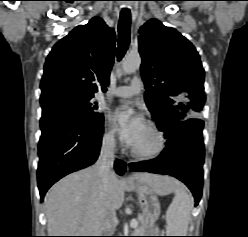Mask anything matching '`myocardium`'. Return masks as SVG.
Listing matches in <instances>:
<instances>
[{
  "mask_svg": "<svg viewBox=\"0 0 248 237\" xmlns=\"http://www.w3.org/2000/svg\"><path fill=\"white\" fill-rule=\"evenodd\" d=\"M156 138V147L150 151L142 152L131 148V154L141 160H152L160 156L166 149V139L160 128L153 124L148 123L146 126Z\"/></svg>",
  "mask_w": 248,
  "mask_h": 237,
  "instance_id": "1",
  "label": "myocardium"
}]
</instances>
